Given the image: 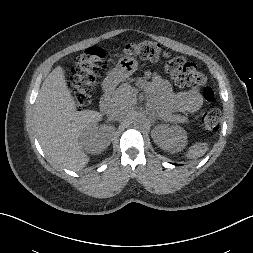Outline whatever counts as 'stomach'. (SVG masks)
Wrapping results in <instances>:
<instances>
[{
  "label": "stomach",
  "instance_id": "1",
  "mask_svg": "<svg viewBox=\"0 0 253 253\" xmlns=\"http://www.w3.org/2000/svg\"><path fill=\"white\" fill-rule=\"evenodd\" d=\"M138 60L132 56H124L117 62L116 67L109 72L105 79V87L111 88L118 82L125 80L138 70Z\"/></svg>",
  "mask_w": 253,
  "mask_h": 253
}]
</instances>
